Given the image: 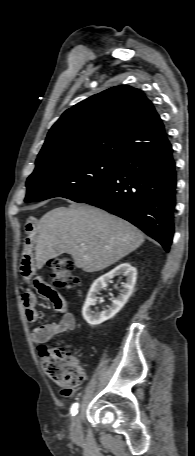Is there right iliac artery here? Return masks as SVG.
<instances>
[{
	"instance_id": "obj_1",
	"label": "right iliac artery",
	"mask_w": 195,
	"mask_h": 456,
	"mask_svg": "<svg viewBox=\"0 0 195 456\" xmlns=\"http://www.w3.org/2000/svg\"><path fill=\"white\" fill-rule=\"evenodd\" d=\"M78 406H79L78 403H74V404L71 406V415H72V416H75V415L77 414Z\"/></svg>"
}]
</instances>
